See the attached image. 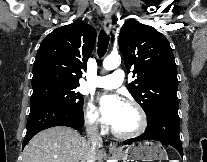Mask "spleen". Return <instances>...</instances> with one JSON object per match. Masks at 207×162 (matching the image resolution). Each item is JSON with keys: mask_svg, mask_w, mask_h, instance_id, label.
<instances>
[{"mask_svg": "<svg viewBox=\"0 0 207 162\" xmlns=\"http://www.w3.org/2000/svg\"><path fill=\"white\" fill-rule=\"evenodd\" d=\"M169 162H179L178 160H170Z\"/></svg>", "mask_w": 207, "mask_h": 162, "instance_id": "3e777b00", "label": "spleen"}]
</instances>
